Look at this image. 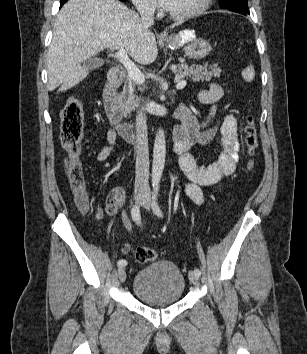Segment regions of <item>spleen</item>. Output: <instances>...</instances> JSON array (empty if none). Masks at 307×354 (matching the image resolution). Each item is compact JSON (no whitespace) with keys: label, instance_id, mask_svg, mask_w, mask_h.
I'll list each match as a JSON object with an SVG mask.
<instances>
[{"label":"spleen","instance_id":"3e777b00","mask_svg":"<svg viewBox=\"0 0 307 354\" xmlns=\"http://www.w3.org/2000/svg\"><path fill=\"white\" fill-rule=\"evenodd\" d=\"M242 77L244 80H246L247 82H250L254 79L255 77V72H254V68L252 65L246 67L243 71H242Z\"/></svg>","mask_w":307,"mask_h":354}]
</instances>
